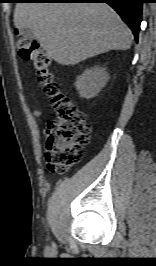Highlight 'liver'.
Returning <instances> with one entry per match:
<instances>
[{
  "instance_id": "1",
  "label": "liver",
  "mask_w": 156,
  "mask_h": 266,
  "mask_svg": "<svg viewBox=\"0 0 156 266\" xmlns=\"http://www.w3.org/2000/svg\"><path fill=\"white\" fill-rule=\"evenodd\" d=\"M14 24L30 28L59 64L74 65L110 50H128L131 31L104 3H19Z\"/></svg>"
}]
</instances>
